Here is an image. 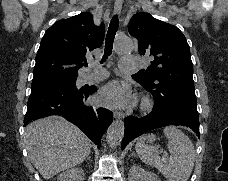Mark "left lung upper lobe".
<instances>
[{
  "label": "left lung upper lobe",
  "instance_id": "left-lung-upper-lobe-1",
  "mask_svg": "<svg viewBox=\"0 0 228 181\" xmlns=\"http://www.w3.org/2000/svg\"><path fill=\"white\" fill-rule=\"evenodd\" d=\"M129 33L138 39L140 54L152 59L132 77L161 103L187 104L197 110L190 48L183 33L149 13L134 15Z\"/></svg>",
  "mask_w": 228,
  "mask_h": 181
}]
</instances>
